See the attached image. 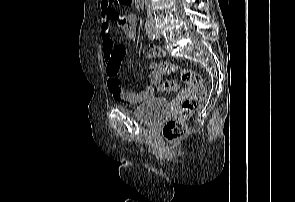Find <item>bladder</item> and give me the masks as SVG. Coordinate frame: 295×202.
<instances>
[{"mask_svg":"<svg viewBox=\"0 0 295 202\" xmlns=\"http://www.w3.org/2000/svg\"><path fill=\"white\" fill-rule=\"evenodd\" d=\"M168 104L162 97H152L138 104L133 110V116L146 124H153L161 120L167 113Z\"/></svg>","mask_w":295,"mask_h":202,"instance_id":"obj_1","label":"bladder"}]
</instances>
